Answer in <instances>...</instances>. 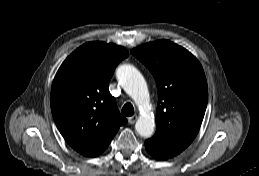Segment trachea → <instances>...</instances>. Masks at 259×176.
Wrapping results in <instances>:
<instances>
[{
	"mask_svg": "<svg viewBox=\"0 0 259 176\" xmlns=\"http://www.w3.org/2000/svg\"><path fill=\"white\" fill-rule=\"evenodd\" d=\"M122 114L124 116H132L134 114V108L131 103H126L122 108Z\"/></svg>",
	"mask_w": 259,
	"mask_h": 176,
	"instance_id": "3493384b",
	"label": "trachea"
}]
</instances>
